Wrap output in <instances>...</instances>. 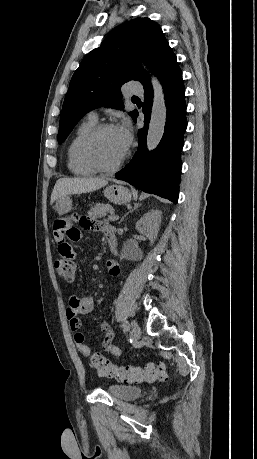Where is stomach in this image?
Returning <instances> with one entry per match:
<instances>
[{
    "mask_svg": "<svg viewBox=\"0 0 257 459\" xmlns=\"http://www.w3.org/2000/svg\"><path fill=\"white\" fill-rule=\"evenodd\" d=\"M104 195L115 204H124L131 200L130 191L119 184L108 186L104 190ZM55 208L60 215L72 210V201L68 196L59 197L56 201Z\"/></svg>",
    "mask_w": 257,
    "mask_h": 459,
    "instance_id": "0dacf381",
    "label": "stomach"
}]
</instances>
